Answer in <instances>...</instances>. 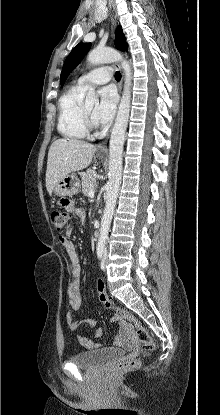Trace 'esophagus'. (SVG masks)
Masks as SVG:
<instances>
[{"label": "esophagus", "instance_id": "34e87169", "mask_svg": "<svg viewBox=\"0 0 220 415\" xmlns=\"http://www.w3.org/2000/svg\"><path fill=\"white\" fill-rule=\"evenodd\" d=\"M112 26H113V28H115V27H116V19H115V18H113V17H112ZM117 66H118L119 68H121L119 64H117ZM122 86H123V74H122V79H121V81H120V83H119V92H120V93H121V91H122ZM108 136H109V132L107 133V138H108ZM97 152H98L99 154H106V153H107L106 141H105V142H102V143H100V144L98 145V147H97Z\"/></svg>", "mask_w": 220, "mask_h": 415}]
</instances>
